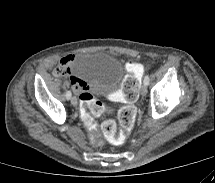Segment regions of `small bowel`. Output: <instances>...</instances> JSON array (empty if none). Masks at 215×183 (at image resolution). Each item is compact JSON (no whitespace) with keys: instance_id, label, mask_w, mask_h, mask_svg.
Listing matches in <instances>:
<instances>
[{"instance_id":"1","label":"small bowel","mask_w":215,"mask_h":183,"mask_svg":"<svg viewBox=\"0 0 215 183\" xmlns=\"http://www.w3.org/2000/svg\"><path fill=\"white\" fill-rule=\"evenodd\" d=\"M74 57H75L74 55H67V56L63 57L59 61L56 68L54 69V74L59 75L57 73V69L61 68V67L64 68L66 70V72L69 71V67H70ZM126 67L133 76L137 77L138 79L142 78V76L144 74V66L142 64L135 63V62H128L126 64ZM70 81H71L73 89L79 94V96H81L84 93H88L89 84L85 80H83L77 76H71ZM113 98L116 100L120 99L119 96H114Z\"/></svg>"}]
</instances>
